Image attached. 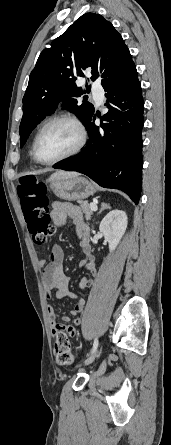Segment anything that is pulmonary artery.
<instances>
[{
    "label": "pulmonary artery",
    "instance_id": "e3ab8cb5",
    "mask_svg": "<svg viewBox=\"0 0 171 445\" xmlns=\"http://www.w3.org/2000/svg\"><path fill=\"white\" fill-rule=\"evenodd\" d=\"M93 93L97 97V102L99 104L103 101V90L100 88V86L97 83H94L92 86Z\"/></svg>",
    "mask_w": 171,
    "mask_h": 445
}]
</instances>
